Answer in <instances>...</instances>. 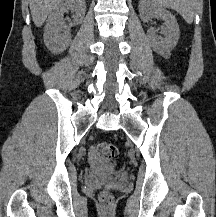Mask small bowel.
Masks as SVG:
<instances>
[{
    "mask_svg": "<svg viewBox=\"0 0 216 217\" xmlns=\"http://www.w3.org/2000/svg\"><path fill=\"white\" fill-rule=\"evenodd\" d=\"M89 165L92 172L97 176H104L109 172H112V168L101 163L95 154V147H92L89 158Z\"/></svg>",
    "mask_w": 216,
    "mask_h": 217,
    "instance_id": "obj_1",
    "label": "small bowel"
}]
</instances>
